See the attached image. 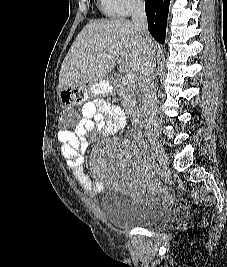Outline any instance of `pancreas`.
Listing matches in <instances>:
<instances>
[{
  "mask_svg": "<svg viewBox=\"0 0 227 267\" xmlns=\"http://www.w3.org/2000/svg\"><path fill=\"white\" fill-rule=\"evenodd\" d=\"M117 92L123 99V106L128 110H135L139 102V90L134 83L129 85L125 78L117 83Z\"/></svg>",
  "mask_w": 227,
  "mask_h": 267,
  "instance_id": "cf45deb5",
  "label": "pancreas"
}]
</instances>
